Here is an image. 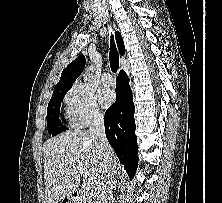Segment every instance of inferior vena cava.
<instances>
[{
	"label": "inferior vena cava",
	"mask_w": 222,
	"mask_h": 203,
	"mask_svg": "<svg viewBox=\"0 0 222 203\" xmlns=\"http://www.w3.org/2000/svg\"><path fill=\"white\" fill-rule=\"evenodd\" d=\"M89 134L90 137L96 141L98 151L106 163L105 173L97 182L93 192L94 203H107L115 182L116 164L112 156L113 150L105 135L104 118L100 112H95L93 114L89 127Z\"/></svg>",
	"instance_id": "obj_1"
}]
</instances>
